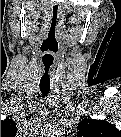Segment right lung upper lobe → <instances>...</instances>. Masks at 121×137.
<instances>
[{"mask_svg": "<svg viewBox=\"0 0 121 137\" xmlns=\"http://www.w3.org/2000/svg\"><path fill=\"white\" fill-rule=\"evenodd\" d=\"M16 129V125L13 120L6 119L1 121V133L8 134L9 132H14Z\"/></svg>", "mask_w": 121, "mask_h": 137, "instance_id": "right-lung-upper-lobe-1", "label": "right lung upper lobe"}]
</instances>
